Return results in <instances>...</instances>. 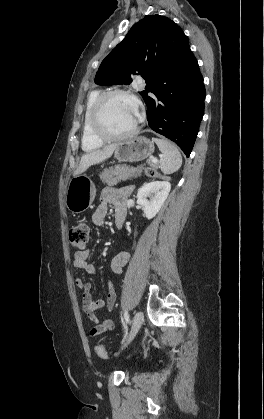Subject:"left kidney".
Masks as SVG:
<instances>
[{
    "label": "left kidney",
    "mask_w": 264,
    "mask_h": 419,
    "mask_svg": "<svg viewBox=\"0 0 264 419\" xmlns=\"http://www.w3.org/2000/svg\"><path fill=\"white\" fill-rule=\"evenodd\" d=\"M168 181H153L142 186L137 193V204L142 206L147 219L159 212L170 192Z\"/></svg>",
    "instance_id": "obj_1"
}]
</instances>
